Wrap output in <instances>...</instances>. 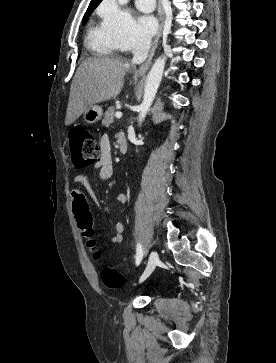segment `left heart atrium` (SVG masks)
Masks as SVG:
<instances>
[{
    "label": "left heart atrium",
    "mask_w": 276,
    "mask_h": 363,
    "mask_svg": "<svg viewBox=\"0 0 276 363\" xmlns=\"http://www.w3.org/2000/svg\"><path fill=\"white\" fill-rule=\"evenodd\" d=\"M139 28L146 37H151L158 31V19L151 14L141 15L139 17Z\"/></svg>",
    "instance_id": "39dd6f15"
}]
</instances>
